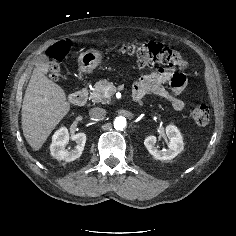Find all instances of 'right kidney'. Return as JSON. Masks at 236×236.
Returning a JSON list of instances; mask_svg holds the SVG:
<instances>
[{
  "instance_id": "obj_1",
  "label": "right kidney",
  "mask_w": 236,
  "mask_h": 236,
  "mask_svg": "<svg viewBox=\"0 0 236 236\" xmlns=\"http://www.w3.org/2000/svg\"><path fill=\"white\" fill-rule=\"evenodd\" d=\"M70 139L76 142V147L73 150H66L65 146ZM85 143V133H77L69 136L68 129L66 127H61L52 137L50 152L51 155L58 160H65L66 162L74 161L81 156Z\"/></svg>"
}]
</instances>
